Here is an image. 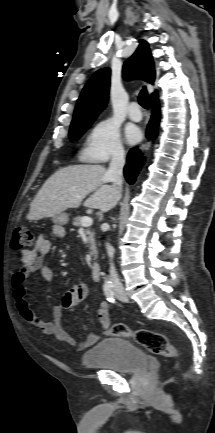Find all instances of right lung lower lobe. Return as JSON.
I'll list each match as a JSON object with an SVG mask.
<instances>
[{"label": "right lung lower lobe", "instance_id": "1", "mask_svg": "<svg viewBox=\"0 0 215 433\" xmlns=\"http://www.w3.org/2000/svg\"><path fill=\"white\" fill-rule=\"evenodd\" d=\"M152 116L147 127V137H156L160 122V105L157 94L150 98ZM144 163V158L140 155V150L132 148L127 156V163L124 167V175L129 184H133Z\"/></svg>", "mask_w": 215, "mask_h": 433}]
</instances>
